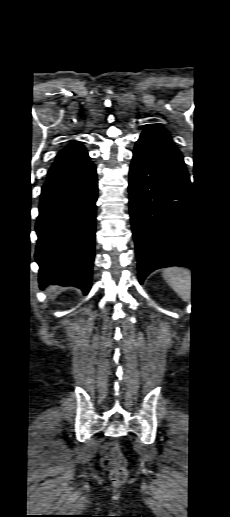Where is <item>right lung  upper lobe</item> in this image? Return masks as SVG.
<instances>
[{
    "instance_id": "1",
    "label": "right lung upper lobe",
    "mask_w": 230,
    "mask_h": 517,
    "mask_svg": "<svg viewBox=\"0 0 230 517\" xmlns=\"http://www.w3.org/2000/svg\"><path fill=\"white\" fill-rule=\"evenodd\" d=\"M89 162L84 146L79 142H73L58 153L48 172L47 181L69 175Z\"/></svg>"
}]
</instances>
